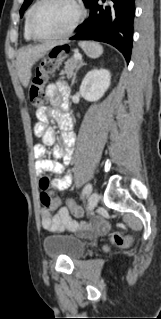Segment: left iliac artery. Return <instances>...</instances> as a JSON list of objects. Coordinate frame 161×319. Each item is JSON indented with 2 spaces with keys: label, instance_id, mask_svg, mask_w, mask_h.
Wrapping results in <instances>:
<instances>
[{
  "label": "left iliac artery",
  "instance_id": "44dca946",
  "mask_svg": "<svg viewBox=\"0 0 161 319\" xmlns=\"http://www.w3.org/2000/svg\"><path fill=\"white\" fill-rule=\"evenodd\" d=\"M91 191H92V185H91V184H87V185L84 187L83 191H82L81 198H84V196L87 195V194H89V193H91Z\"/></svg>",
  "mask_w": 161,
  "mask_h": 319
}]
</instances>
